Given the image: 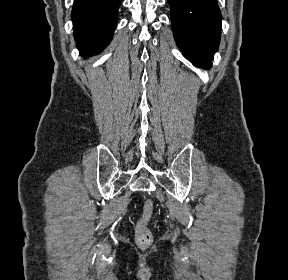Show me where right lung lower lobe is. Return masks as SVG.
Segmentation results:
<instances>
[{
	"mask_svg": "<svg viewBox=\"0 0 288 280\" xmlns=\"http://www.w3.org/2000/svg\"><path fill=\"white\" fill-rule=\"evenodd\" d=\"M120 0H75L74 37L80 55L98 54L112 39Z\"/></svg>",
	"mask_w": 288,
	"mask_h": 280,
	"instance_id": "obj_1",
	"label": "right lung lower lobe"
}]
</instances>
